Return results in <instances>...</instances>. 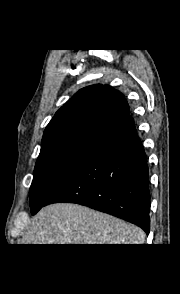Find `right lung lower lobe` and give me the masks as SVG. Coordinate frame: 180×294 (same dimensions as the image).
Returning <instances> with one entry per match:
<instances>
[{
    "mask_svg": "<svg viewBox=\"0 0 180 294\" xmlns=\"http://www.w3.org/2000/svg\"><path fill=\"white\" fill-rule=\"evenodd\" d=\"M56 202L85 205L149 233L148 167L132 117L99 142L45 205Z\"/></svg>",
    "mask_w": 180,
    "mask_h": 294,
    "instance_id": "1",
    "label": "right lung lower lobe"
}]
</instances>
